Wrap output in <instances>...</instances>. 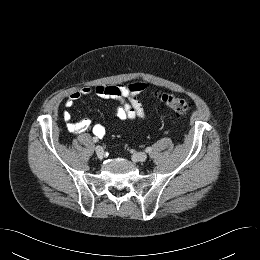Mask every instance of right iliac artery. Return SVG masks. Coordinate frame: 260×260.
<instances>
[{
    "instance_id": "1",
    "label": "right iliac artery",
    "mask_w": 260,
    "mask_h": 260,
    "mask_svg": "<svg viewBox=\"0 0 260 260\" xmlns=\"http://www.w3.org/2000/svg\"><path fill=\"white\" fill-rule=\"evenodd\" d=\"M94 142H97L98 141V139L97 138H94V140H93Z\"/></svg>"
}]
</instances>
